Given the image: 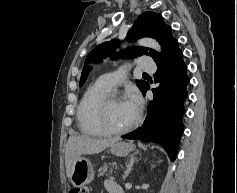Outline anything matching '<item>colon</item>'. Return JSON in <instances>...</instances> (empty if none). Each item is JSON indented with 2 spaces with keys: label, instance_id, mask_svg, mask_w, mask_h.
Segmentation results:
<instances>
[{
  "label": "colon",
  "instance_id": "obj_1",
  "mask_svg": "<svg viewBox=\"0 0 237 193\" xmlns=\"http://www.w3.org/2000/svg\"><path fill=\"white\" fill-rule=\"evenodd\" d=\"M69 193H89V188L87 186H74Z\"/></svg>",
  "mask_w": 237,
  "mask_h": 193
}]
</instances>
